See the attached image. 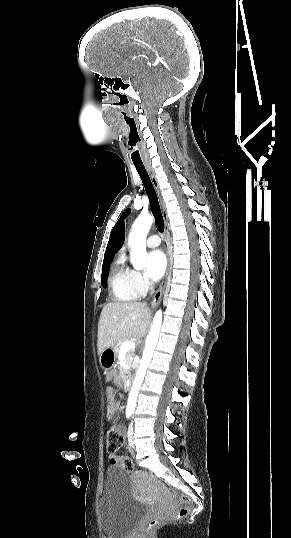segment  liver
Wrapping results in <instances>:
<instances>
[{"mask_svg":"<svg viewBox=\"0 0 291 538\" xmlns=\"http://www.w3.org/2000/svg\"><path fill=\"white\" fill-rule=\"evenodd\" d=\"M151 311L141 302H109L104 305L98 324V354L119 341L145 336Z\"/></svg>","mask_w":291,"mask_h":538,"instance_id":"1","label":"liver"}]
</instances>
